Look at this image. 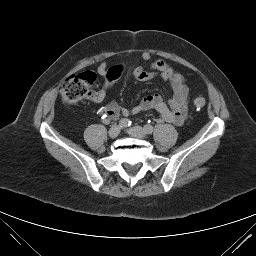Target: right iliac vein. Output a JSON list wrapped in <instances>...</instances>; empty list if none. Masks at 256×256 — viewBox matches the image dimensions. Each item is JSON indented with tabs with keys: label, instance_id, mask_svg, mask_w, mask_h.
<instances>
[{
	"label": "right iliac vein",
	"instance_id": "obj_1",
	"mask_svg": "<svg viewBox=\"0 0 256 256\" xmlns=\"http://www.w3.org/2000/svg\"><path fill=\"white\" fill-rule=\"evenodd\" d=\"M120 133V127L117 126V125H114L110 128L108 134H109V137L114 139L116 138Z\"/></svg>",
	"mask_w": 256,
	"mask_h": 256
}]
</instances>
